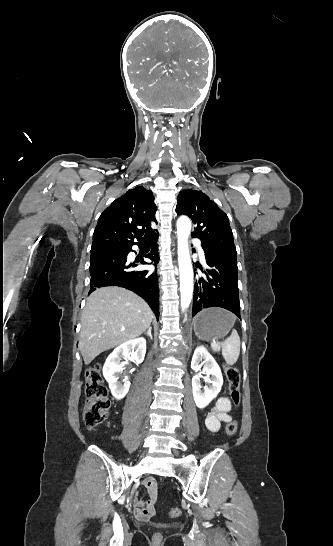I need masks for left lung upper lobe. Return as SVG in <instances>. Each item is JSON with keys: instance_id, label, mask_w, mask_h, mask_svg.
<instances>
[{"instance_id": "left-lung-upper-lobe-1", "label": "left lung upper lobe", "mask_w": 333, "mask_h": 546, "mask_svg": "<svg viewBox=\"0 0 333 546\" xmlns=\"http://www.w3.org/2000/svg\"><path fill=\"white\" fill-rule=\"evenodd\" d=\"M178 215H187L195 224L192 236L225 257L236 258L233 233L227 215L202 191L183 190L178 195ZM228 272L227 265L220 270Z\"/></svg>"}]
</instances>
